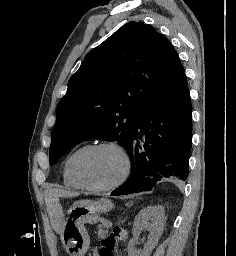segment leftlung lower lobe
<instances>
[{
  "label": "left lung lower lobe",
  "mask_w": 236,
  "mask_h": 256,
  "mask_svg": "<svg viewBox=\"0 0 236 256\" xmlns=\"http://www.w3.org/2000/svg\"><path fill=\"white\" fill-rule=\"evenodd\" d=\"M191 140V100L184 72L137 117L127 149L132 172L111 195L150 191L164 178L186 180Z\"/></svg>",
  "instance_id": "left-lung-lower-lobe-1"
}]
</instances>
